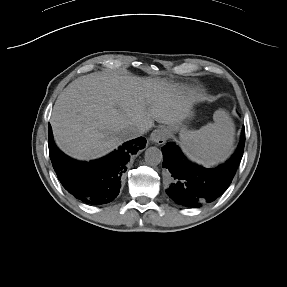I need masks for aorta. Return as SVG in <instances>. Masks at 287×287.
<instances>
[{"label":"aorta","mask_w":287,"mask_h":287,"mask_svg":"<svg viewBox=\"0 0 287 287\" xmlns=\"http://www.w3.org/2000/svg\"><path fill=\"white\" fill-rule=\"evenodd\" d=\"M145 162L150 166H156L163 160L162 151L157 147H149L145 151Z\"/></svg>","instance_id":"1"}]
</instances>
